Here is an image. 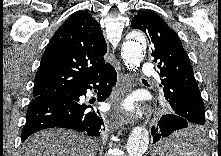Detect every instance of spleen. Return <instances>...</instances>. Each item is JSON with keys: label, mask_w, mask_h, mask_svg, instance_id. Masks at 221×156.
Wrapping results in <instances>:
<instances>
[{"label": "spleen", "mask_w": 221, "mask_h": 156, "mask_svg": "<svg viewBox=\"0 0 221 156\" xmlns=\"http://www.w3.org/2000/svg\"><path fill=\"white\" fill-rule=\"evenodd\" d=\"M174 156H202V152L193 145L182 140H171L165 144Z\"/></svg>", "instance_id": "1"}]
</instances>
